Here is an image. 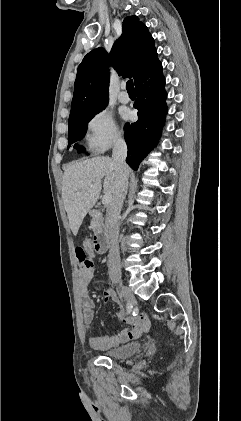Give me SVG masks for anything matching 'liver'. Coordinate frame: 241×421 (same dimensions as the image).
I'll list each match as a JSON object with an SVG mask.
<instances>
[{"label":"liver","instance_id":"6515ba94","mask_svg":"<svg viewBox=\"0 0 241 421\" xmlns=\"http://www.w3.org/2000/svg\"><path fill=\"white\" fill-rule=\"evenodd\" d=\"M103 192L113 196L118 174L109 157L97 156L70 164L62 180V199L74 235Z\"/></svg>","mask_w":241,"mask_h":421}]
</instances>
